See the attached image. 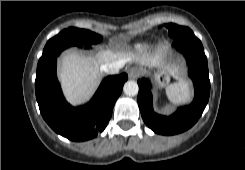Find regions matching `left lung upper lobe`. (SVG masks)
I'll list each match as a JSON object with an SVG mask.
<instances>
[{"label":"left lung upper lobe","instance_id":"obj_1","mask_svg":"<svg viewBox=\"0 0 245 170\" xmlns=\"http://www.w3.org/2000/svg\"><path fill=\"white\" fill-rule=\"evenodd\" d=\"M169 35L174 39H186L195 43H201L194 33L188 27H182L173 23L166 24Z\"/></svg>","mask_w":245,"mask_h":170}]
</instances>
